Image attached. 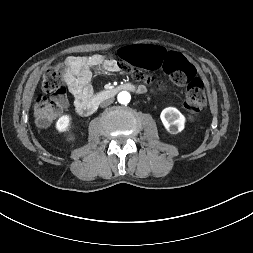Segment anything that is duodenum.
<instances>
[{"instance_id": "obj_1", "label": "duodenum", "mask_w": 253, "mask_h": 253, "mask_svg": "<svg viewBox=\"0 0 253 253\" xmlns=\"http://www.w3.org/2000/svg\"><path fill=\"white\" fill-rule=\"evenodd\" d=\"M121 91L137 92V89L134 85L123 84V85H119V86L104 90L100 92L99 94H97L96 96L90 98L89 100L77 105L76 106L77 112L80 115L89 116L97 110L99 104L102 101L114 97L116 94H118Z\"/></svg>"}]
</instances>
